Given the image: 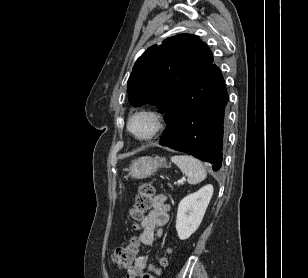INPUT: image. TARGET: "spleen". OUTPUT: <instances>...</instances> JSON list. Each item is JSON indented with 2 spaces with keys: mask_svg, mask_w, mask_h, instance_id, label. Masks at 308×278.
Returning <instances> with one entry per match:
<instances>
[{
  "mask_svg": "<svg viewBox=\"0 0 308 278\" xmlns=\"http://www.w3.org/2000/svg\"><path fill=\"white\" fill-rule=\"evenodd\" d=\"M171 161L187 176V181L191 185L200 183L207 176L202 163L193 156L175 155Z\"/></svg>",
  "mask_w": 308,
  "mask_h": 278,
  "instance_id": "1",
  "label": "spleen"
}]
</instances>
